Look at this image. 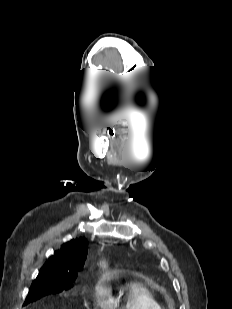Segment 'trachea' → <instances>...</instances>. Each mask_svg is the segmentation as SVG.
Listing matches in <instances>:
<instances>
[{"mask_svg":"<svg viewBox=\"0 0 232 309\" xmlns=\"http://www.w3.org/2000/svg\"><path fill=\"white\" fill-rule=\"evenodd\" d=\"M109 134H110V136H113L114 135V133H113V131L111 130V131H109Z\"/></svg>","mask_w":232,"mask_h":309,"instance_id":"3493384b","label":"trachea"}]
</instances>
